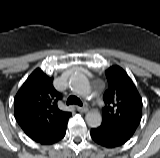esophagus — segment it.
Returning <instances> with one entry per match:
<instances>
[{
    "mask_svg": "<svg viewBox=\"0 0 160 158\" xmlns=\"http://www.w3.org/2000/svg\"><path fill=\"white\" fill-rule=\"evenodd\" d=\"M77 110L79 112H87L88 111V107L86 104H84L83 106H77Z\"/></svg>",
    "mask_w": 160,
    "mask_h": 158,
    "instance_id": "obj_1",
    "label": "esophagus"
}]
</instances>
